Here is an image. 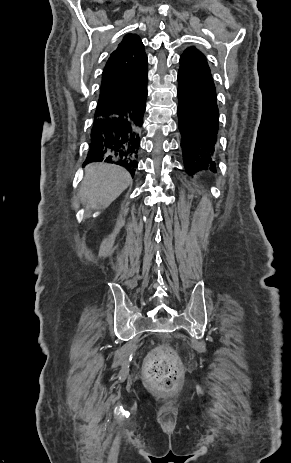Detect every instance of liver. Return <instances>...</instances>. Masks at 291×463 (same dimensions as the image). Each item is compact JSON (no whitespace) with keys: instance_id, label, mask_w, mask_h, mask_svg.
<instances>
[{"instance_id":"liver-1","label":"liver","mask_w":291,"mask_h":463,"mask_svg":"<svg viewBox=\"0 0 291 463\" xmlns=\"http://www.w3.org/2000/svg\"><path fill=\"white\" fill-rule=\"evenodd\" d=\"M132 182L130 174L120 166L93 163L85 168L80 186L81 202L91 209L107 208Z\"/></svg>"}]
</instances>
